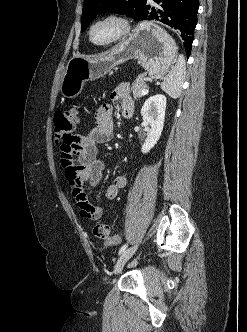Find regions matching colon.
I'll return each instance as SVG.
<instances>
[{"mask_svg": "<svg viewBox=\"0 0 247 332\" xmlns=\"http://www.w3.org/2000/svg\"><path fill=\"white\" fill-rule=\"evenodd\" d=\"M79 120L76 109L59 111L54 115V134L58 142L62 145H74L75 138L72 135ZM94 235L100 239L119 241L121 234L114 233L110 226L106 224H96L93 229Z\"/></svg>", "mask_w": 247, "mask_h": 332, "instance_id": "5ec220e1", "label": "colon"}]
</instances>
